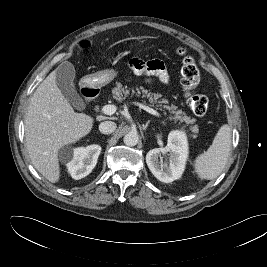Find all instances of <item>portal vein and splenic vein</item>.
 <instances>
[{
	"label": "portal vein and splenic vein",
	"mask_w": 267,
	"mask_h": 267,
	"mask_svg": "<svg viewBox=\"0 0 267 267\" xmlns=\"http://www.w3.org/2000/svg\"><path fill=\"white\" fill-rule=\"evenodd\" d=\"M133 104L138 106L140 109H143L146 112H148V113H150V114H152L154 116H157V117L160 116L159 112H157L153 108H150V107H148L146 105H143V104H141L139 102H134ZM101 110L106 115H113L117 111V107L115 105H113V104H109V105L103 106Z\"/></svg>",
	"instance_id": "1"
}]
</instances>
